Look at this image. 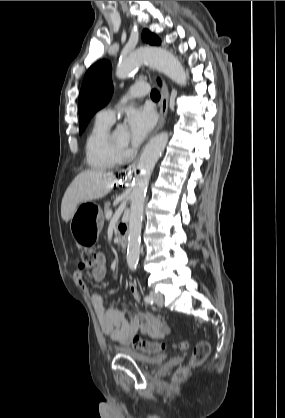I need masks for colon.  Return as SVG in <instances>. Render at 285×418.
Wrapping results in <instances>:
<instances>
[{
	"label": "colon",
	"mask_w": 285,
	"mask_h": 418,
	"mask_svg": "<svg viewBox=\"0 0 285 418\" xmlns=\"http://www.w3.org/2000/svg\"><path fill=\"white\" fill-rule=\"evenodd\" d=\"M96 259L97 253L94 249L84 248L81 252L80 268H91L95 263ZM131 345L134 349L146 353H158L166 348L165 344L163 343L147 341L139 336H135L131 339ZM175 348L185 349L186 344L180 343L176 345ZM209 353L210 343L205 340L198 342L193 349L189 362L176 371L174 379L176 381H181L182 379L187 377L192 368L201 365L207 359Z\"/></svg>",
	"instance_id": "1"
}]
</instances>
